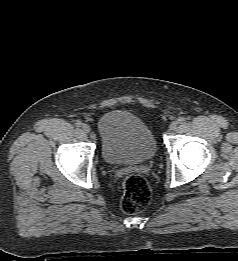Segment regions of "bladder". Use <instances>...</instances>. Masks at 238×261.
Instances as JSON below:
<instances>
[{"label":"bladder","mask_w":238,"mask_h":261,"mask_svg":"<svg viewBox=\"0 0 238 261\" xmlns=\"http://www.w3.org/2000/svg\"><path fill=\"white\" fill-rule=\"evenodd\" d=\"M103 159L112 165L146 162L157 151L155 137L136 115L121 110L105 113L98 121Z\"/></svg>","instance_id":"31cf9c89"}]
</instances>
